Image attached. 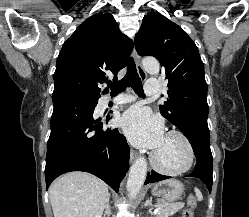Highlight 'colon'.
<instances>
[{"label":"colon","mask_w":249,"mask_h":217,"mask_svg":"<svg viewBox=\"0 0 249 217\" xmlns=\"http://www.w3.org/2000/svg\"><path fill=\"white\" fill-rule=\"evenodd\" d=\"M195 206L196 198L194 196H190L188 199V206L183 211L182 217H193Z\"/></svg>","instance_id":"5ec220e1"}]
</instances>
